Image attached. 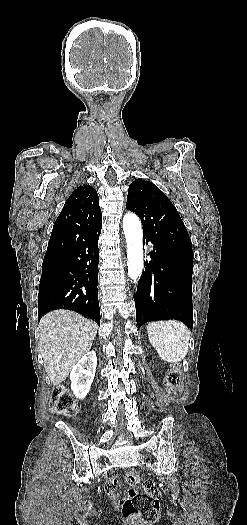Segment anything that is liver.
Masks as SVG:
<instances>
[{"mask_svg":"<svg viewBox=\"0 0 247 525\" xmlns=\"http://www.w3.org/2000/svg\"><path fill=\"white\" fill-rule=\"evenodd\" d=\"M39 325L44 369L51 385H60L83 355L89 353L98 325L66 309L50 311Z\"/></svg>","mask_w":247,"mask_h":525,"instance_id":"1","label":"liver"}]
</instances>
